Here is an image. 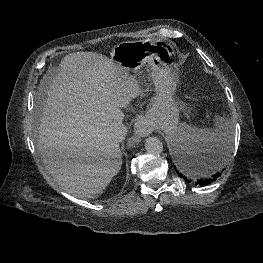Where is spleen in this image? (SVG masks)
I'll use <instances>...</instances> for the list:
<instances>
[{"instance_id":"obj_1","label":"spleen","mask_w":263,"mask_h":263,"mask_svg":"<svg viewBox=\"0 0 263 263\" xmlns=\"http://www.w3.org/2000/svg\"><path fill=\"white\" fill-rule=\"evenodd\" d=\"M233 134L231 122L224 118L216 120L214 129L197 128L183 123L177 127L176 132L170 137V143L175 151L181 149L193 153L209 144L220 145L222 153L216 158L215 163L209 167L211 171H214L220 170L226 165L233 144Z\"/></svg>"}]
</instances>
